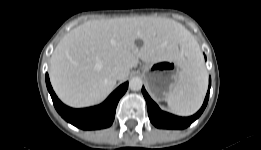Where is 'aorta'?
<instances>
[{"label": "aorta", "mask_w": 261, "mask_h": 150, "mask_svg": "<svg viewBox=\"0 0 261 150\" xmlns=\"http://www.w3.org/2000/svg\"><path fill=\"white\" fill-rule=\"evenodd\" d=\"M142 85H143L142 79L139 78V77H134L129 82V88L132 91H139V90H141Z\"/></svg>", "instance_id": "1"}]
</instances>
